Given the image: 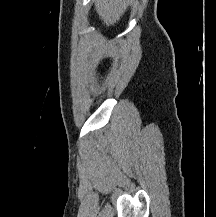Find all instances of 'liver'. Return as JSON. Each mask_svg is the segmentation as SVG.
<instances>
[{
    "mask_svg": "<svg viewBox=\"0 0 216 217\" xmlns=\"http://www.w3.org/2000/svg\"><path fill=\"white\" fill-rule=\"evenodd\" d=\"M126 0H96V11L107 26L114 25L127 9Z\"/></svg>",
    "mask_w": 216,
    "mask_h": 217,
    "instance_id": "obj_1",
    "label": "liver"
}]
</instances>
